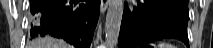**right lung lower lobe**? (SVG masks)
<instances>
[{"label": "right lung lower lobe", "instance_id": "1", "mask_svg": "<svg viewBox=\"0 0 213 48\" xmlns=\"http://www.w3.org/2000/svg\"><path fill=\"white\" fill-rule=\"evenodd\" d=\"M30 0L31 38L51 35L76 48H89L100 12V0Z\"/></svg>", "mask_w": 213, "mask_h": 48}]
</instances>
